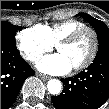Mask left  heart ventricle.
<instances>
[{"label": "left heart ventricle", "instance_id": "1", "mask_svg": "<svg viewBox=\"0 0 109 109\" xmlns=\"http://www.w3.org/2000/svg\"><path fill=\"white\" fill-rule=\"evenodd\" d=\"M92 46V34L85 32L73 44L60 46L58 51L66 57L72 67H75L83 63L89 57Z\"/></svg>", "mask_w": 109, "mask_h": 109}]
</instances>
